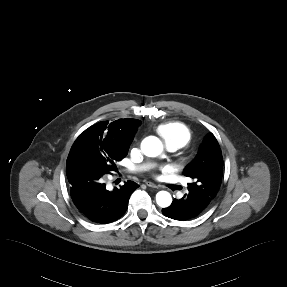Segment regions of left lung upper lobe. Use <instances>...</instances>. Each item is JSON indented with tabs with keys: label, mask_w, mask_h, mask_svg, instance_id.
<instances>
[{
	"label": "left lung upper lobe",
	"mask_w": 287,
	"mask_h": 287,
	"mask_svg": "<svg viewBox=\"0 0 287 287\" xmlns=\"http://www.w3.org/2000/svg\"><path fill=\"white\" fill-rule=\"evenodd\" d=\"M223 158L219 144L209 133L199 149L196 158L188 164L183 174L192 178L188 183L189 194L209 204L216 196L222 181Z\"/></svg>",
	"instance_id": "obj_1"
}]
</instances>
